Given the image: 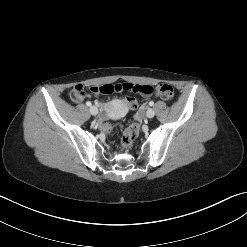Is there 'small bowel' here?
I'll return each instance as SVG.
<instances>
[{"label": "small bowel", "mask_w": 247, "mask_h": 247, "mask_svg": "<svg viewBox=\"0 0 247 247\" xmlns=\"http://www.w3.org/2000/svg\"><path fill=\"white\" fill-rule=\"evenodd\" d=\"M72 100L75 101V102H82L84 99H85V95L83 96H71ZM103 109H107V106L106 105H102Z\"/></svg>", "instance_id": "c3829d8e"}]
</instances>
